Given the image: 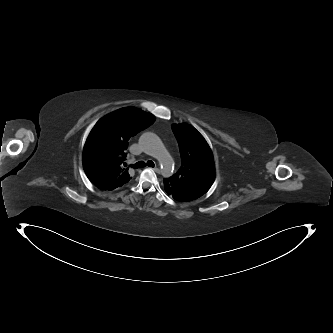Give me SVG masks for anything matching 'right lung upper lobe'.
Instances as JSON below:
<instances>
[{"label": "right lung upper lobe", "instance_id": "obj_1", "mask_svg": "<svg viewBox=\"0 0 333 333\" xmlns=\"http://www.w3.org/2000/svg\"><path fill=\"white\" fill-rule=\"evenodd\" d=\"M155 121L150 113L134 107L116 110L101 120L91 130L83 151V166L96 179L101 190H114L129 182L128 168L123 167L128 140ZM87 177H90L87 174Z\"/></svg>", "mask_w": 333, "mask_h": 333}]
</instances>
